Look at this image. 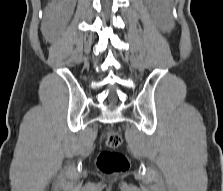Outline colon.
Listing matches in <instances>:
<instances>
[{"label":"colon","mask_w":223,"mask_h":191,"mask_svg":"<svg viewBox=\"0 0 223 191\" xmlns=\"http://www.w3.org/2000/svg\"><path fill=\"white\" fill-rule=\"evenodd\" d=\"M122 143V137L116 132L106 135V147L97 157V167L104 174H120L129 169V160L126 155L117 149Z\"/></svg>","instance_id":"colon-1"}]
</instances>
